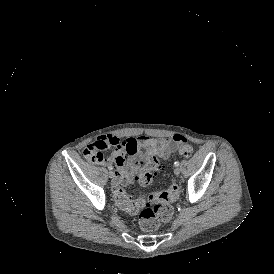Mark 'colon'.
Masks as SVG:
<instances>
[{
  "instance_id": "1",
  "label": "colon",
  "mask_w": 274,
  "mask_h": 274,
  "mask_svg": "<svg viewBox=\"0 0 274 274\" xmlns=\"http://www.w3.org/2000/svg\"><path fill=\"white\" fill-rule=\"evenodd\" d=\"M126 146V145H125ZM83 152H102V151H83ZM179 155L181 159L188 161L192 159L194 152L188 144L179 145ZM161 168L159 157H149L141 162L139 172V184L143 188L150 184L155 172ZM180 187L173 182L160 195H140L132 197L130 193L117 187L114 198L117 205L124 211L131 214H139L137 226L144 231L157 229L161 223L168 221L173 213L172 203L179 196Z\"/></svg>"
}]
</instances>
